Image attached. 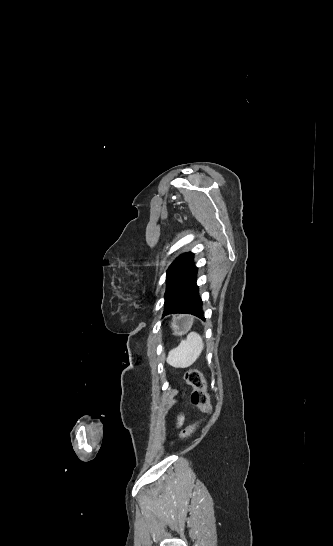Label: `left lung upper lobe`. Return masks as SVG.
Masks as SVG:
<instances>
[{
    "label": "left lung upper lobe",
    "instance_id": "5c2ea615",
    "mask_svg": "<svg viewBox=\"0 0 333 546\" xmlns=\"http://www.w3.org/2000/svg\"><path fill=\"white\" fill-rule=\"evenodd\" d=\"M192 262H193V254L191 252L185 253L174 260V262L170 265L166 273V280H167L166 292L170 284L172 283V281L177 277V275Z\"/></svg>",
    "mask_w": 333,
    "mask_h": 546
}]
</instances>
